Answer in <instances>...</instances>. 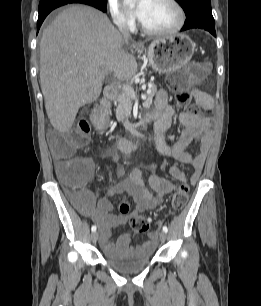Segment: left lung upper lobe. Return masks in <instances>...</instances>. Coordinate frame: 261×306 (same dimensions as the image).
<instances>
[{
    "instance_id": "left-lung-upper-lobe-1",
    "label": "left lung upper lobe",
    "mask_w": 261,
    "mask_h": 306,
    "mask_svg": "<svg viewBox=\"0 0 261 306\" xmlns=\"http://www.w3.org/2000/svg\"><path fill=\"white\" fill-rule=\"evenodd\" d=\"M187 17L205 15L213 18L210 0H176Z\"/></svg>"
}]
</instances>
